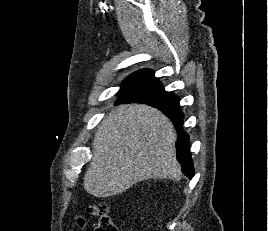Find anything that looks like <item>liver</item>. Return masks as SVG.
<instances>
[{
    "instance_id": "6515ba94",
    "label": "liver",
    "mask_w": 268,
    "mask_h": 231,
    "mask_svg": "<svg viewBox=\"0 0 268 231\" xmlns=\"http://www.w3.org/2000/svg\"><path fill=\"white\" fill-rule=\"evenodd\" d=\"M176 140L173 124L159 110L145 104L118 106L95 133L85 190L105 198L150 178L179 179Z\"/></svg>"
}]
</instances>
